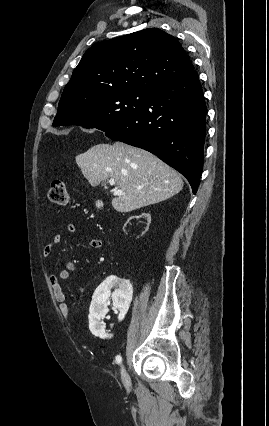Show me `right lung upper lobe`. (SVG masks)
Segmentation results:
<instances>
[{
	"instance_id": "right-lung-upper-lobe-1",
	"label": "right lung upper lobe",
	"mask_w": 269,
	"mask_h": 426,
	"mask_svg": "<svg viewBox=\"0 0 269 426\" xmlns=\"http://www.w3.org/2000/svg\"><path fill=\"white\" fill-rule=\"evenodd\" d=\"M194 70L172 35L149 28L90 47L61 98L89 99L114 92H150Z\"/></svg>"
}]
</instances>
